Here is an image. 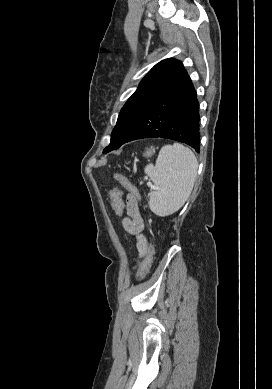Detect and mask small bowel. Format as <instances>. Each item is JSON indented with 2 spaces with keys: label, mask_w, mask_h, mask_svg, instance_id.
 Wrapping results in <instances>:
<instances>
[{
  "label": "small bowel",
  "mask_w": 272,
  "mask_h": 389,
  "mask_svg": "<svg viewBox=\"0 0 272 389\" xmlns=\"http://www.w3.org/2000/svg\"><path fill=\"white\" fill-rule=\"evenodd\" d=\"M125 212L122 225L136 238L139 256L143 257L147 251V240L143 234L145 222L139 210L138 199L132 194L127 195L125 199Z\"/></svg>",
  "instance_id": "obj_1"
}]
</instances>
